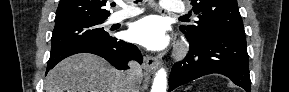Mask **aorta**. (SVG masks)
<instances>
[{
  "instance_id": "1",
  "label": "aorta",
  "mask_w": 289,
  "mask_h": 92,
  "mask_svg": "<svg viewBox=\"0 0 289 92\" xmlns=\"http://www.w3.org/2000/svg\"><path fill=\"white\" fill-rule=\"evenodd\" d=\"M167 90V73L165 69H159L154 77L151 92H166Z\"/></svg>"
}]
</instances>
